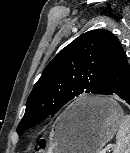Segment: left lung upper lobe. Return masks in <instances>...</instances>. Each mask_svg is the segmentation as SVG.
Masks as SVG:
<instances>
[{
    "instance_id": "left-lung-upper-lobe-1",
    "label": "left lung upper lobe",
    "mask_w": 130,
    "mask_h": 153,
    "mask_svg": "<svg viewBox=\"0 0 130 153\" xmlns=\"http://www.w3.org/2000/svg\"><path fill=\"white\" fill-rule=\"evenodd\" d=\"M121 44L111 32L83 33L45 67L33 87L17 133L29 129L85 93L98 94L107 68Z\"/></svg>"
}]
</instances>
